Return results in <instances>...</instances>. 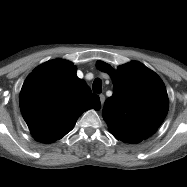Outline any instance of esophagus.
<instances>
[{
    "label": "esophagus",
    "mask_w": 187,
    "mask_h": 187,
    "mask_svg": "<svg viewBox=\"0 0 187 187\" xmlns=\"http://www.w3.org/2000/svg\"><path fill=\"white\" fill-rule=\"evenodd\" d=\"M99 98H100L101 105L103 106V104H104V102H105V95L100 94V95H99Z\"/></svg>",
    "instance_id": "1"
}]
</instances>
